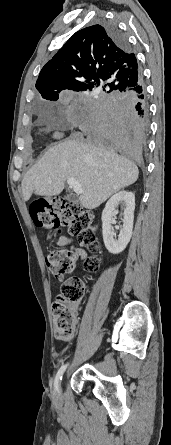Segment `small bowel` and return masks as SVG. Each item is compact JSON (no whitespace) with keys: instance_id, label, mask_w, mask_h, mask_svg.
<instances>
[{"instance_id":"1","label":"small bowel","mask_w":171,"mask_h":445,"mask_svg":"<svg viewBox=\"0 0 171 445\" xmlns=\"http://www.w3.org/2000/svg\"><path fill=\"white\" fill-rule=\"evenodd\" d=\"M71 240L67 236H61L56 240V245L59 247H65L70 244ZM75 254H77L81 259H85L87 257L86 252L80 248H73Z\"/></svg>"}]
</instances>
